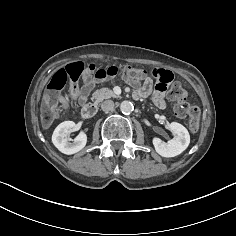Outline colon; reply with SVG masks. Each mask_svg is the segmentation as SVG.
<instances>
[{
    "label": "colon",
    "mask_w": 236,
    "mask_h": 236,
    "mask_svg": "<svg viewBox=\"0 0 236 236\" xmlns=\"http://www.w3.org/2000/svg\"><path fill=\"white\" fill-rule=\"evenodd\" d=\"M117 75L130 82H139L144 77L145 71L130 65L96 68L93 64L85 65L81 62H75L57 70L51 77L44 95L41 107L42 124L49 127L64 108L63 99L58 94L67 84L71 86V90H76L80 80L88 82L93 77L105 80ZM172 80L173 74L168 70L163 71L161 79L155 85V90L165 92L168 89L169 99L175 102V114L178 117H189V128L195 133L200 125V109L187 102L186 90L179 83L172 84Z\"/></svg>",
    "instance_id": "1"
}]
</instances>
